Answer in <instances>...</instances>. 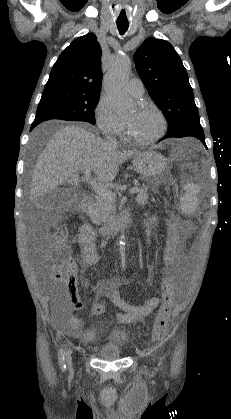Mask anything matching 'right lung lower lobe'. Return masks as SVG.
<instances>
[{
    "label": "right lung lower lobe",
    "mask_w": 231,
    "mask_h": 419,
    "mask_svg": "<svg viewBox=\"0 0 231 419\" xmlns=\"http://www.w3.org/2000/svg\"><path fill=\"white\" fill-rule=\"evenodd\" d=\"M37 125H38V123H33L32 126H31V130L34 129Z\"/></svg>",
    "instance_id": "obj_1"
}]
</instances>
